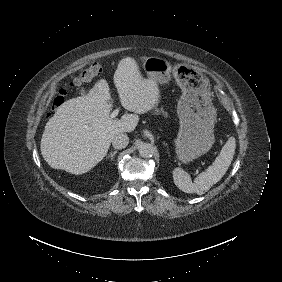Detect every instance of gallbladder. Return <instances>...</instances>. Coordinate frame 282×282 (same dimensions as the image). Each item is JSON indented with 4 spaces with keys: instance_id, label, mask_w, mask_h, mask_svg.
I'll list each match as a JSON object with an SVG mask.
<instances>
[{
    "instance_id": "1",
    "label": "gallbladder",
    "mask_w": 282,
    "mask_h": 282,
    "mask_svg": "<svg viewBox=\"0 0 282 282\" xmlns=\"http://www.w3.org/2000/svg\"><path fill=\"white\" fill-rule=\"evenodd\" d=\"M79 94H80L81 97H85V96H87V91L84 88H82V89H80Z\"/></svg>"
}]
</instances>
